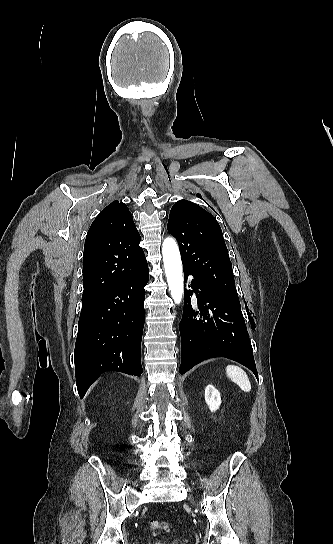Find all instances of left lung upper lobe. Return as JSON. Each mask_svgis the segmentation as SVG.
<instances>
[{
	"mask_svg": "<svg viewBox=\"0 0 333 544\" xmlns=\"http://www.w3.org/2000/svg\"><path fill=\"white\" fill-rule=\"evenodd\" d=\"M167 228L178 241L183 266L226 301L241 307L231 261L216 219L195 203L179 200L170 211Z\"/></svg>",
	"mask_w": 333,
	"mask_h": 544,
	"instance_id": "obj_1",
	"label": "left lung upper lobe"
}]
</instances>
